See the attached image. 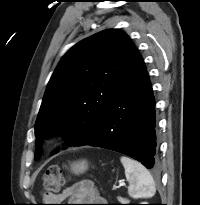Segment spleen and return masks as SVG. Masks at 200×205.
<instances>
[{
    "mask_svg": "<svg viewBox=\"0 0 200 205\" xmlns=\"http://www.w3.org/2000/svg\"><path fill=\"white\" fill-rule=\"evenodd\" d=\"M121 163L129 182L128 194L132 198H149L156 192L155 182L150 172L138 161L122 156Z\"/></svg>",
    "mask_w": 200,
    "mask_h": 205,
    "instance_id": "3e777b00",
    "label": "spleen"
}]
</instances>
